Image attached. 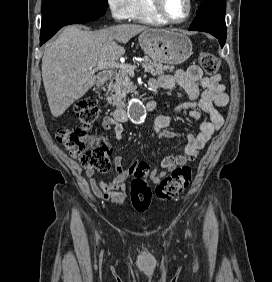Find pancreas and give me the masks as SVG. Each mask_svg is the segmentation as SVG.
Masks as SVG:
<instances>
[{
  "mask_svg": "<svg viewBox=\"0 0 272 282\" xmlns=\"http://www.w3.org/2000/svg\"><path fill=\"white\" fill-rule=\"evenodd\" d=\"M144 62L141 63L145 72L151 73L153 76H162L165 71L172 72L174 66H166L156 61H150L148 57L144 56ZM113 81L110 83V88L115 94L107 97L108 103L113 106H119L128 93L134 90V84L130 81L129 73L126 70H119L113 76Z\"/></svg>",
  "mask_w": 272,
  "mask_h": 282,
  "instance_id": "pancreas-1",
  "label": "pancreas"
}]
</instances>
